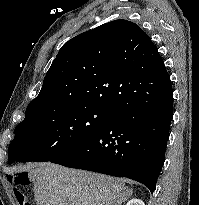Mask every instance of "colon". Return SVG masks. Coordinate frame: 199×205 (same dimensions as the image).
<instances>
[{
	"mask_svg": "<svg viewBox=\"0 0 199 205\" xmlns=\"http://www.w3.org/2000/svg\"><path fill=\"white\" fill-rule=\"evenodd\" d=\"M29 181V176L25 173L10 175V183L13 186L14 194L21 205H29L24 194V188L29 184Z\"/></svg>",
	"mask_w": 199,
	"mask_h": 205,
	"instance_id": "obj_1",
	"label": "colon"
}]
</instances>
